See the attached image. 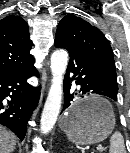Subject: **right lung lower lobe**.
<instances>
[{
  "mask_svg": "<svg viewBox=\"0 0 130 153\" xmlns=\"http://www.w3.org/2000/svg\"><path fill=\"white\" fill-rule=\"evenodd\" d=\"M33 75H38L34 66L0 74V124L11 129L20 140L24 139L27 122L40 95L39 87L27 83Z\"/></svg>",
  "mask_w": 130,
  "mask_h": 153,
  "instance_id": "98d812e1",
  "label": "right lung lower lobe"
}]
</instances>
